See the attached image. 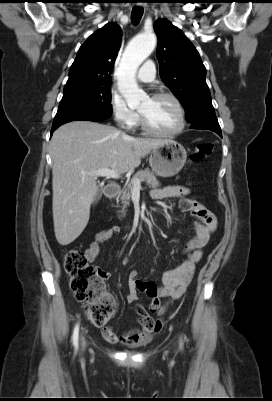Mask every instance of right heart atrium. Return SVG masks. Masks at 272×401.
I'll return each mask as SVG.
<instances>
[{"label": "right heart atrium", "mask_w": 272, "mask_h": 401, "mask_svg": "<svg viewBox=\"0 0 272 401\" xmlns=\"http://www.w3.org/2000/svg\"><path fill=\"white\" fill-rule=\"evenodd\" d=\"M109 107L115 121L125 129H131L138 121V114L128 107L121 95L112 91L109 96Z\"/></svg>", "instance_id": "right-heart-atrium-1"}]
</instances>
